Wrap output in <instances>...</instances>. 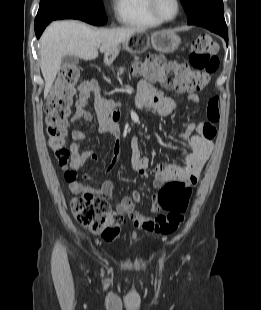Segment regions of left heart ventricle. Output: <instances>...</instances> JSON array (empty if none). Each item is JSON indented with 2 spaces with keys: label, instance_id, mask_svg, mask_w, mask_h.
<instances>
[{
  "label": "left heart ventricle",
  "instance_id": "1",
  "mask_svg": "<svg viewBox=\"0 0 261 310\" xmlns=\"http://www.w3.org/2000/svg\"><path fill=\"white\" fill-rule=\"evenodd\" d=\"M157 10L165 18L172 17L176 12L174 0H157Z\"/></svg>",
  "mask_w": 261,
  "mask_h": 310
}]
</instances>
